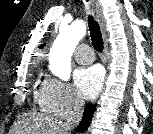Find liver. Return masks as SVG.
Segmentation results:
<instances>
[{
	"mask_svg": "<svg viewBox=\"0 0 153 134\" xmlns=\"http://www.w3.org/2000/svg\"><path fill=\"white\" fill-rule=\"evenodd\" d=\"M25 132H48L49 134H64L63 125L43 114H31L23 126H19L18 134Z\"/></svg>",
	"mask_w": 153,
	"mask_h": 134,
	"instance_id": "1",
	"label": "liver"
}]
</instances>
